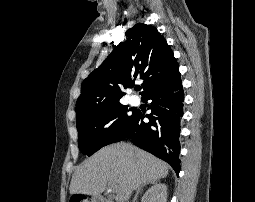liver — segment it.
Listing matches in <instances>:
<instances>
[{
  "label": "liver",
  "mask_w": 255,
  "mask_h": 202,
  "mask_svg": "<svg viewBox=\"0 0 255 202\" xmlns=\"http://www.w3.org/2000/svg\"><path fill=\"white\" fill-rule=\"evenodd\" d=\"M168 172V165L155 156L129 143H115L103 147L77 168L69 191L99 196L110 183L115 187L117 202H125L133 190L165 178Z\"/></svg>",
  "instance_id": "1"
}]
</instances>
